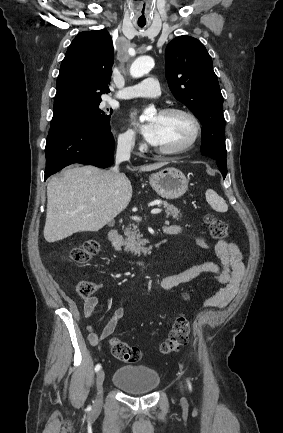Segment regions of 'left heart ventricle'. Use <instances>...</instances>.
I'll return each mask as SVG.
<instances>
[{
  "label": "left heart ventricle",
  "instance_id": "1",
  "mask_svg": "<svg viewBox=\"0 0 283 433\" xmlns=\"http://www.w3.org/2000/svg\"><path fill=\"white\" fill-rule=\"evenodd\" d=\"M153 121L159 126L158 150H176L185 145L193 135L194 125L184 114H159Z\"/></svg>",
  "mask_w": 283,
  "mask_h": 433
}]
</instances>
